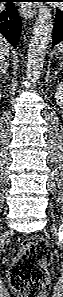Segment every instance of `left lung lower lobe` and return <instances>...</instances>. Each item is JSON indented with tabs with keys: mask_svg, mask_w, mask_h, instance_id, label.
I'll list each match as a JSON object with an SVG mask.
<instances>
[{
	"mask_svg": "<svg viewBox=\"0 0 63 297\" xmlns=\"http://www.w3.org/2000/svg\"><path fill=\"white\" fill-rule=\"evenodd\" d=\"M59 2H63L59 0ZM63 41V8L57 9L53 30V46Z\"/></svg>",
	"mask_w": 63,
	"mask_h": 297,
	"instance_id": "0a47b994",
	"label": "left lung lower lobe"
}]
</instances>
